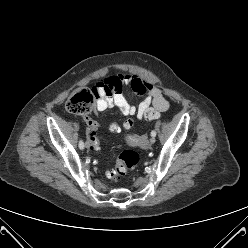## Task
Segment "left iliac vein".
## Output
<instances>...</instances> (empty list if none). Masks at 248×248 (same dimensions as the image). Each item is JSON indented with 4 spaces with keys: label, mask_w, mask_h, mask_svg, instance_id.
<instances>
[{
    "label": "left iliac vein",
    "mask_w": 248,
    "mask_h": 248,
    "mask_svg": "<svg viewBox=\"0 0 248 248\" xmlns=\"http://www.w3.org/2000/svg\"><path fill=\"white\" fill-rule=\"evenodd\" d=\"M154 143H155V138L152 137V138L150 139V145H153Z\"/></svg>",
    "instance_id": "1"
}]
</instances>
